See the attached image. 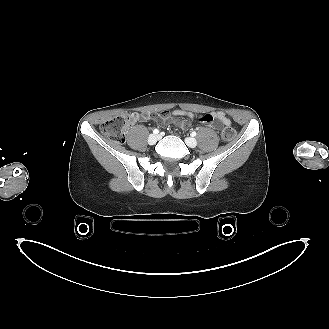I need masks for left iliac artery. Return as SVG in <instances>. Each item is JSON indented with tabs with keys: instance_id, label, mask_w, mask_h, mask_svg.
Wrapping results in <instances>:
<instances>
[{
	"instance_id": "44dca946",
	"label": "left iliac artery",
	"mask_w": 329,
	"mask_h": 329,
	"mask_svg": "<svg viewBox=\"0 0 329 329\" xmlns=\"http://www.w3.org/2000/svg\"><path fill=\"white\" fill-rule=\"evenodd\" d=\"M191 135H192V136H196V132L193 131V132L191 133Z\"/></svg>"
}]
</instances>
